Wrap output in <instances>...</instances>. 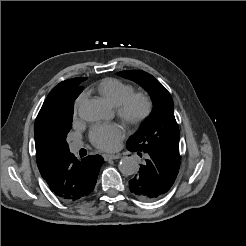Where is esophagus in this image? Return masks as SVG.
<instances>
[{"mask_svg": "<svg viewBox=\"0 0 246 246\" xmlns=\"http://www.w3.org/2000/svg\"><path fill=\"white\" fill-rule=\"evenodd\" d=\"M103 157H104L105 161H109V160L119 159L121 157V155H119V154H105Z\"/></svg>", "mask_w": 246, "mask_h": 246, "instance_id": "34e87169", "label": "esophagus"}]
</instances>
